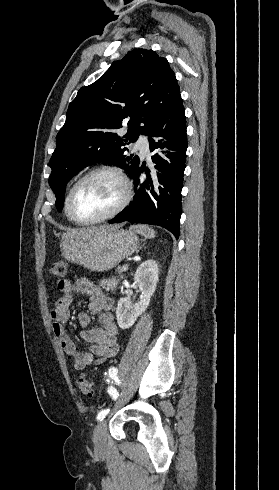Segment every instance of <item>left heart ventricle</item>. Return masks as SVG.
Masks as SVG:
<instances>
[{
    "label": "left heart ventricle",
    "instance_id": "1",
    "mask_svg": "<svg viewBox=\"0 0 279 490\" xmlns=\"http://www.w3.org/2000/svg\"><path fill=\"white\" fill-rule=\"evenodd\" d=\"M120 182L110 174H100L83 182L75 199V216L91 220L110 211L122 198Z\"/></svg>",
    "mask_w": 279,
    "mask_h": 490
}]
</instances>
